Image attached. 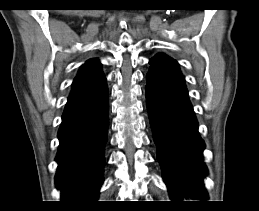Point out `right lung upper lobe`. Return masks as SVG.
<instances>
[{"label": "right lung upper lobe", "mask_w": 259, "mask_h": 211, "mask_svg": "<svg viewBox=\"0 0 259 211\" xmlns=\"http://www.w3.org/2000/svg\"><path fill=\"white\" fill-rule=\"evenodd\" d=\"M106 81L97 60H88L81 66V69L74 79L69 99L77 98L88 94Z\"/></svg>", "instance_id": "1"}]
</instances>
